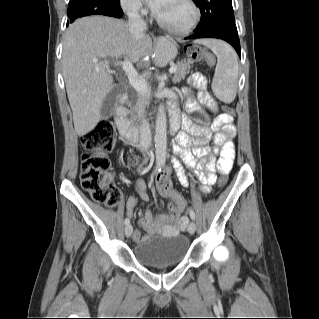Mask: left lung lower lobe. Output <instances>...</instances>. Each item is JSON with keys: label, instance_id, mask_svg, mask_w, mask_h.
<instances>
[{"label": "left lung lower lobe", "instance_id": "obj_1", "mask_svg": "<svg viewBox=\"0 0 319 319\" xmlns=\"http://www.w3.org/2000/svg\"><path fill=\"white\" fill-rule=\"evenodd\" d=\"M196 38H218L222 39L233 46L241 58L240 42L237 32H232L224 29H210L205 31H196L193 35L186 37L185 39Z\"/></svg>", "mask_w": 319, "mask_h": 319}]
</instances>
